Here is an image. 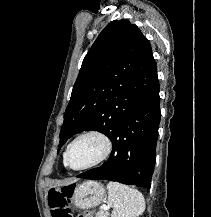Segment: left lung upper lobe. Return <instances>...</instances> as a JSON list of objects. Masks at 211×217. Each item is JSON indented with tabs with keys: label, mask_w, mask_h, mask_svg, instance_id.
Returning <instances> with one entry per match:
<instances>
[{
	"label": "left lung upper lobe",
	"mask_w": 211,
	"mask_h": 217,
	"mask_svg": "<svg viewBox=\"0 0 211 217\" xmlns=\"http://www.w3.org/2000/svg\"><path fill=\"white\" fill-rule=\"evenodd\" d=\"M157 82L147 38L128 20L110 22L83 60L65 111L60 143L86 130L110 138L117 123Z\"/></svg>",
	"instance_id": "obj_1"
}]
</instances>
